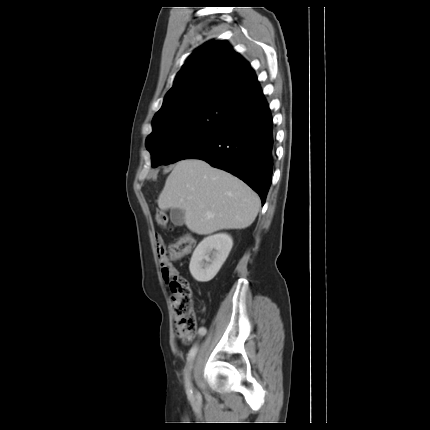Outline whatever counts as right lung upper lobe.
<instances>
[{
    "instance_id": "1",
    "label": "right lung upper lobe",
    "mask_w": 430,
    "mask_h": 430,
    "mask_svg": "<svg viewBox=\"0 0 430 430\" xmlns=\"http://www.w3.org/2000/svg\"><path fill=\"white\" fill-rule=\"evenodd\" d=\"M260 93L250 64L227 41H210L188 57L153 123L205 101H223L231 109L244 108Z\"/></svg>"
}]
</instances>
